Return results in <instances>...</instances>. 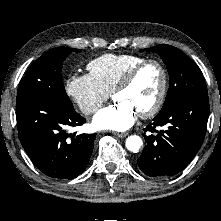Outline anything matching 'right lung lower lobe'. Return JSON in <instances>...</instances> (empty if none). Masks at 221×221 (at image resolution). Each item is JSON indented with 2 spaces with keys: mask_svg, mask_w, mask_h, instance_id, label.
<instances>
[{
  "mask_svg": "<svg viewBox=\"0 0 221 221\" xmlns=\"http://www.w3.org/2000/svg\"><path fill=\"white\" fill-rule=\"evenodd\" d=\"M20 142L41 172L73 179L86 168L96 134H68L66 129L85 119L73 107L35 98L16 106Z\"/></svg>",
  "mask_w": 221,
  "mask_h": 221,
  "instance_id": "obj_1",
  "label": "right lung lower lobe"
}]
</instances>
